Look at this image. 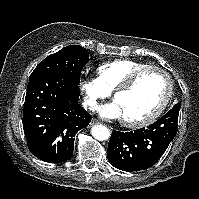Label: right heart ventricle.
<instances>
[{"instance_id": "e07e8e85", "label": "right heart ventricle", "mask_w": 199, "mask_h": 199, "mask_svg": "<svg viewBox=\"0 0 199 199\" xmlns=\"http://www.w3.org/2000/svg\"><path fill=\"white\" fill-rule=\"evenodd\" d=\"M146 66L148 64L135 60L116 59L103 63L98 67V79L104 88L111 92L122 84L134 71Z\"/></svg>"}]
</instances>
